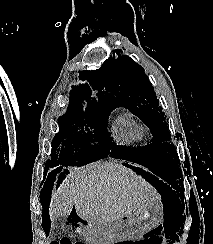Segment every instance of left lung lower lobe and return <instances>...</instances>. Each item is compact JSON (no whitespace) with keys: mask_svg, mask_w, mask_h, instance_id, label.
<instances>
[{"mask_svg":"<svg viewBox=\"0 0 213 244\" xmlns=\"http://www.w3.org/2000/svg\"><path fill=\"white\" fill-rule=\"evenodd\" d=\"M154 171V170H153ZM156 178V177H155ZM158 181H159V179L158 178H156ZM160 182H162L163 183V181H160Z\"/></svg>","mask_w":213,"mask_h":244,"instance_id":"1","label":"left lung lower lobe"}]
</instances>
